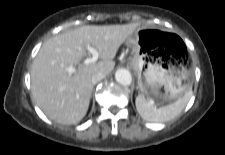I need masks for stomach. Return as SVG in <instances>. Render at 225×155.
<instances>
[{
	"mask_svg": "<svg viewBox=\"0 0 225 155\" xmlns=\"http://www.w3.org/2000/svg\"><path fill=\"white\" fill-rule=\"evenodd\" d=\"M171 35L159 29L139 27L128 38L134 53L131 66L137 73L143 96L157 102L179 99L190 90L192 75L182 59H174L165 50L171 47Z\"/></svg>",
	"mask_w": 225,
	"mask_h": 155,
	"instance_id": "stomach-1",
	"label": "stomach"
}]
</instances>
